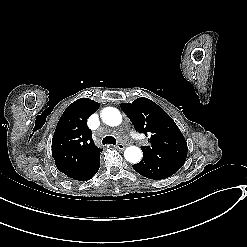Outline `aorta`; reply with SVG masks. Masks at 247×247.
<instances>
[{
    "mask_svg": "<svg viewBox=\"0 0 247 247\" xmlns=\"http://www.w3.org/2000/svg\"><path fill=\"white\" fill-rule=\"evenodd\" d=\"M102 121L109 126H118L122 122V116L118 109L114 107H105L101 111ZM125 159L130 163H138L142 159V151L136 146L127 147L124 151Z\"/></svg>",
    "mask_w": 247,
    "mask_h": 247,
    "instance_id": "762f6f07",
    "label": "aorta"
}]
</instances>
